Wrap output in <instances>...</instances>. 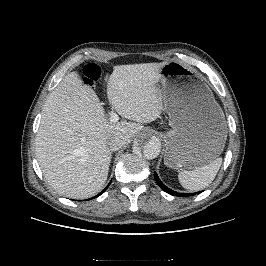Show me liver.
<instances>
[{
  "instance_id": "1",
  "label": "liver",
  "mask_w": 266,
  "mask_h": 266,
  "mask_svg": "<svg viewBox=\"0 0 266 266\" xmlns=\"http://www.w3.org/2000/svg\"><path fill=\"white\" fill-rule=\"evenodd\" d=\"M162 63L114 66L107 83L111 107L129 122H111L103 104L78 72L66 75L47 97L36 137V156L48 184L59 194L82 199L100 192L112 158L107 141L126 144L160 117ZM125 144V145H126Z\"/></svg>"
}]
</instances>
